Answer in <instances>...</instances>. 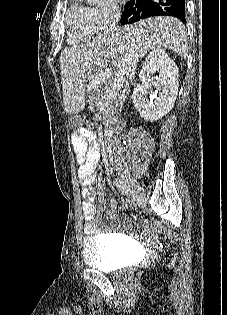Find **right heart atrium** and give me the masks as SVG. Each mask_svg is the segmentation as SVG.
I'll list each match as a JSON object with an SVG mask.
<instances>
[{"label": "right heart atrium", "mask_w": 227, "mask_h": 315, "mask_svg": "<svg viewBox=\"0 0 227 315\" xmlns=\"http://www.w3.org/2000/svg\"><path fill=\"white\" fill-rule=\"evenodd\" d=\"M120 10L116 0H106L100 6L94 8L95 18L100 29H105L115 23L120 15Z\"/></svg>", "instance_id": "d8ad5b80"}]
</instances>
